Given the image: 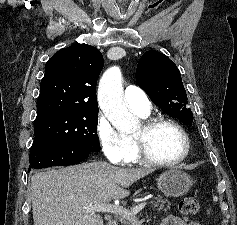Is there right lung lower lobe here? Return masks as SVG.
<instances>
[{
    "label": "right lung lower lobe",
    "mask_w": 237,
    "mask_h": 225,
    "mask_svg": "<svg viewBox=\"0 0 237 225\" xmlns=\"http://www.w3.org/2000/svg\"><path fill=\"white\" fill-rule=\"evenodd\" d=\"M89 153L87 150L66 143L47 139H34L30 149L28 171L51 166L78 164L88 158Z\"/></svg>",
    "instance_id": "right-lung-lower-lobe-1"
}]
</instances>
